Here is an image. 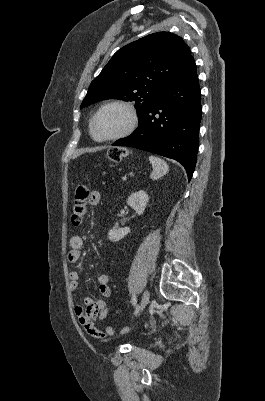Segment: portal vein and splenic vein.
<instances>
[{
    "instance_id": "1",
    "label": "portal vein and splenic vein",
    "mask_w": 265,
    "mask_h": 401,
    "mask_svg": "<svg viewBox=\"0 0 265 401\" xmlns=\"http://www.w3.org/2000/svg\"><path fill=\"white\" fill-rule=\"evenodd\" d=\"M122 180H123V181H126V180H127V177H126V176H123V177H122Z\"/></svg>"
}]
</instances>
